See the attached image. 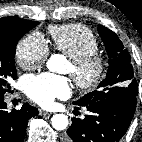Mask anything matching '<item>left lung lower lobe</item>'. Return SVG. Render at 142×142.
Returning a JSON list of instances; mask_svg holds the SVG:
<instances>
[{"instance_id":"left-lung-lower-lobe-1","label":"left lung lower lobe","mask_w":142,"mask_h":142,"mask_svg":"<svg viewBox=\"0 0 142 142\" xmlns=\"http://www.w3.org/2000/svg\"><path fill=\"white\" fill-rule=\"evenodd\" d=\"M136 96L132 93L125 94L86 105L91 114L85 115L83 120L73 118L63 141H118L126 133L134 116Z\"/></svg>"}]
</instances>
